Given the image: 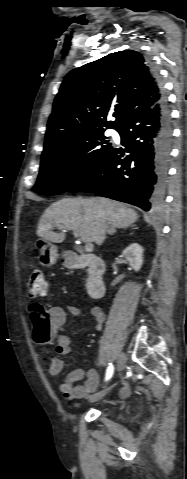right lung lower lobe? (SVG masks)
Returning <instances> with one entry per match:
<instances>
[{
  "label": "right lung lower lobe",
  "mask_w": 187,
  "mask_h": 479,
  "mask_svg": "<svg viewBox=\"0 0 187 479\" xmlns=\"http://www.w3.org/2000/svg\"><path fill=\"white\" fill-rule=\"evenodd\" d=\"M162 97L151 108L136 110L120 127L121 143L129 153L112 148L70 192H92L130 203L145 211L161 207L172 143L171 116L157 72Z\"/></svg>",
  "instance_id": "1"
}]
</instances>
